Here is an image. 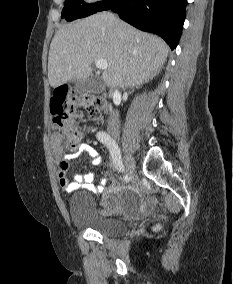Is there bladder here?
Segmentation results:
<instances>
[{"instance_id": "31cf9c89", "label": "bladder", "mask_w": 233, "mask_h": 284, "mask_svg": "<svg viewBox=\"0 0 233 284\" xmlns=\"http://www.w3.org/2000/svg\"><path fill=\"white\" fill-rule=\"evenodd\" d=\"M114 194L122 203L131 204L139 201L137 193L130 187L122 188L116 192L107 194L111 198ZM69 214L72 223L80 228L93 230L106 237H117L126 233L127 223L116 217L101 215L96 207L93 197L86 192H76L69 200Z\"/></svg>"}]
</instances>
